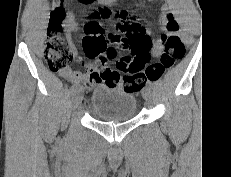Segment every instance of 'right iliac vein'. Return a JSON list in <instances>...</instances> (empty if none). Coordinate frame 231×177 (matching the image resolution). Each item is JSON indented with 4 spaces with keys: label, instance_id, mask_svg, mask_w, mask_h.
Listing matches in <instances>:
<instances>
[{
    "label": "right iliac vein",
    "instance_id": "63e3f726",
    "mask_svg": "<svg viewBox=\"0 0 231 177\" xmlns=\"http://www.w3.org/2000/svg\"><path fill=\"white\" fill-rule=\"evenodd\" d=\"M82 98H83V95H82V90L81 89H76L72 93L71 105H72L73 109H75L81 103Z\"/></svg>",
    "mask_w": 231,
    "mask_h": 177
}]
</instances>
